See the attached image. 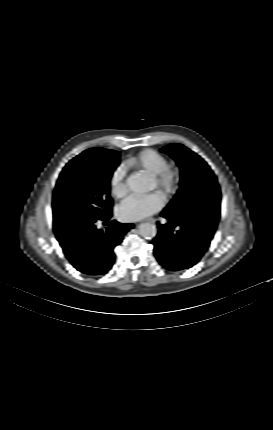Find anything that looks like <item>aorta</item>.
Segmentation results:
<instances>
[{"instance_id":"aorta-1","label":"aorta","mask_w":273,"mask_h":430,"mask_svg":"<svg viewBox=\"0 0 273 430\" xmlns=\"http://www.w3.org/2000/svg\"><path fill=\"white\" fill-rule=\"evenodd\" d=\"M129 189L137 194H143L151 191L154 182L150 178L141 175H133L127 179ZM140 235L146 239H152L157 234V228L151 223H142L139 225Z\"/></svg>"}]
</instances>
